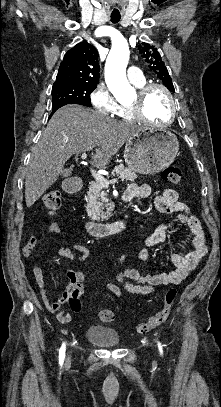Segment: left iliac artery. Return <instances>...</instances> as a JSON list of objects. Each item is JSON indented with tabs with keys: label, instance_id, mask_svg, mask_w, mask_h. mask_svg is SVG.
<instances>
[{
	"label": "left iliac artery",
	"instance_id": "44dca946",
	"mask_svg": "<svg viewBox=\"0 0 221 407\" xmlns=\"http://www.w3.org/2000/svg\"><path fill=\"white\" fill-rule=\"evenodd\" d=\"M158 347H159V351L161 354H163V349H162V345L160 342H158Z\"/></svg>",
	"mask_w": 221,
	"mask_h": 407
}]
</instances>
